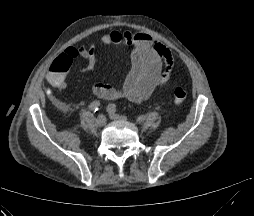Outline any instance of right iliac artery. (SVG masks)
Listing matches in <instances>:
<instances>
[{
	"mask_svg": "<svg viewBox=\"0 0 254 216\" xmlns=\"http://www.w3.org/2000/svg\"><path fill=\"white\" fill-rule=\"evenodd\" d=\"M100 107V102L99 101H93L90 105H89V109L92 112H96Z\"/></svg>",
	"mask_w": 254,
	"mask_h": 216,
	"instance_id": "82829eb1",
	"label": "right iliac artery"
}]
</instances>
